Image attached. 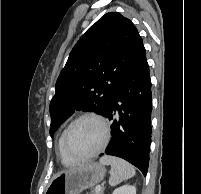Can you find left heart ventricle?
I'll use <instances>...</instances> for the list:
<instances>
[{
	"instance_id": "b2bd125f",
	"label": "left heart ventricle",
	"mask_w": 201,
	"mask_h": 194,
	"mask_svg": "<svg viewBox=\"0 0 201 194\" xmlns=\"http://www.w3.org/2000/svg\"><path fill=\"white\" fill-rule=\"evenodd\" d=\"M103 140L101 125L91 119L76 123L67 138V150L74 156H85L96 150Z\"/></svg>"
}]
</instances>
